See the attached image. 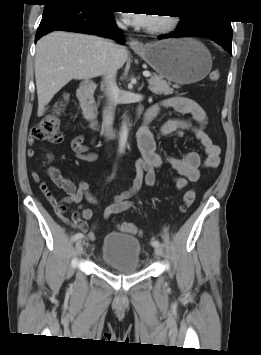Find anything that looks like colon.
Listing matches in <instances>:
<instances>
[{"label": "colon", "instance_id": "5ec220e1", "mask_svg": "<svg viewBox=\"0 0 261 355\" xmlns=\"http://www.w3.org/2000/svg\"><path fill=\"white\" fill-rule=\"evenodd\" d=\"M220 71L214 70L210 73L211 81H218L220 79ZM67 95L64 94L61 101L56 104L54 113L46 115L31 131V137L34 140L47 141L53 144H58L63 141V134L60 131V113L65 107ZM196 193L193 189L186 191L183 196L181 210L186 211L195 201ZM119 229L124 233L138 234L139 227L134 223L122 222L118 224Z\"/></svg>", "mask_w": 261, "mask_h": 355}]
</instances>
